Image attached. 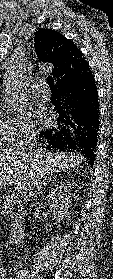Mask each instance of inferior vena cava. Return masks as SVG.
Returning <instances> with one entry per match:
<instances>
[{"mask_svg": "<svg viewBox=\"0 0 113 279\" xmlns=\"http://www.w3.org/2000/svg\"><path fill=\"white\" fill-rule=\"evenodd\" d=\"M35 146H36V130L34 129L33 126H28L25 129L21 139L17 142L16 148L21 150L24 153L33 154L37 151L34 150ZM38 182L39 181L35 176H31L27 184V188L29 191V198L33 196L34 185H37ZM28 201H30V199H28Z\"/></svg>", "mask_w": 113, "mask_h": 279, "instance_id": "inferior-vena-cava-1", "label": "inferior vena cava"}]
</instances>
